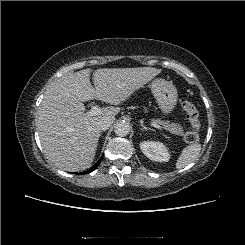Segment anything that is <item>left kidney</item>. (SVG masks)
Masks as SVG:
<instances>
[{
    "label": "left kidney",
    "mask_w": 245,
    "mask_h": 245,
    "mask_svg": "<svg viewBox=\"0 0 245 245\" xmlns=\"http://www.w3.org/2000/svg\"><path fill=\"white\" fill-rule=\"evenodd\" d=\"M140 149L146 157L156 162H167L170 154L163 143L157 141H143Z\"/></svg>",
    "instance_id": "left-kidney-1"
}]
</instances>
